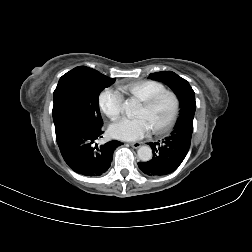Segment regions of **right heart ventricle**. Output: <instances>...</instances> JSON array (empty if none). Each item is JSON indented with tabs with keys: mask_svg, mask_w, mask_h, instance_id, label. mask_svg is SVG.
<instances>
[{
	"mask_svg": "<svg viewBox=\"0 0 252 252\" xmlns=\"http://www.w3.org/2000/svg\"><path fill=\"white\" fill-rule=\"evenodd\" d=\"M121 89L131 97L142 102L153 94L165 90L166 87L157 81L142 80L123 85Z\"/></svg>",
	"mask_w": 252,
	"mask_h": 252,
	"instance_id": "right-heart-ventricle-1",
	"label": "right heart ventricle"
}]
</instances>
